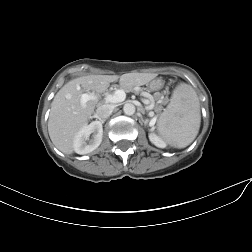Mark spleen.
Listing matches in <instances>:
<instances>
[{
  "label": "spleen",
  "mask_w": 252,
  "mask_h": 252,
  "mask_svg": "<svg viewBox=\"0 0 252 252\" xmlns=\"http://www.w3.org/2000/svg\"><path fill=\"white\" fill-rule=\"evenodd\" d=\"M200 122L198 96L190 85L181 83L173 91L170 103L159 117L157 130L169 145L185 148L196 138Z\"/></svg>",
  "instance_id": "obj_1"
}]
</instances>
